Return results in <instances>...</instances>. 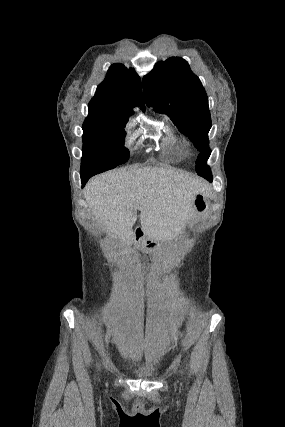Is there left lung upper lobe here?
<instances>
[{
	"label": "left lung upper lobe",
	"instance_id": "5c2ea615",
	"mask_svg": "<svg viewBox=\"0 0 285 427\" xmlns=\"http://www.w3.org/2000/svg\"><path fill=\"white\" fill-rule=\"evenodd\" d=\"M145 102L171 121L194 143L200 154L196 172L212 181L206 162L211 154L208 132L212 126L208 97L199 78L186 60L171 57L155 64L143 78Z\"/></svg>",
	"mask_w": 285,
	"mask_h": 427
}]
</instances>
